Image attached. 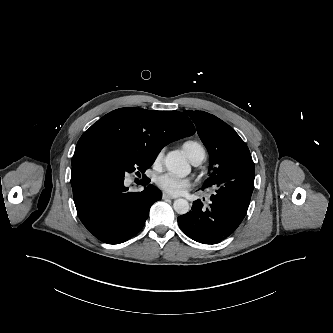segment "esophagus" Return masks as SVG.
<instances>
[{"label": "esophagus", "mask_w": 333, "mask_h": 333, "mask_svg": "<svg viewBox=\"0 0 333 333\" xmlns=\"http://www.w3.org/2000/svg\"><path fill=\"white\" fill-rule=\"evenodd\" d=\"M162 198L163 199H171V200L175 199V197H173V196H171V195H169L167 193H163L162 194Z\"/></svg>", "instance_id": "obj_1"}]
</instances>
